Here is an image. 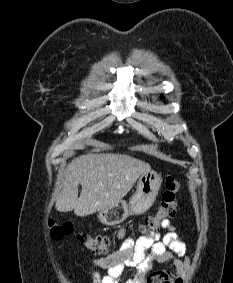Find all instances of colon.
<instances>
[{"instance_id": "1", "label": "colon", "mask_w": 233, "mask_h": 283, "mask_svg": "<svg viewBox=\"0 0 233 283\" xmlns=\"http://www.w3.org/2000/svg\"><path fill=\"white\" fill-rule=\"evenodd\" d=\"M180 184L172 176H168L165 182V191L162 196V202L156 214L149 216L139 227L140 233L150 235L155 233L163 221L173 219L178 212V192ZM49 232L52 238L60 239L66 234L74 231V226L69 221L58 222L50 220L48 224ZM77 239L88 250L97 255H104L109 252L111 240L107 236L96 235L93 233L80 232Z\"/></svg>"}]
</instances>
